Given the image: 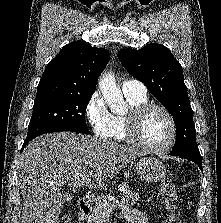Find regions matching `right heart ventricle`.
<instances>
[{"label":"right heart ventricle","mask_w":221,"mask_h":223,"mask_svg":"<svg viewBox=\"0 0 221 223\" xmlns=\"http://www.w3.org/2000/svg\"><path fill=\"white\" fill-rule=\"evenodd\" d=\"M131 108L147 103L148 97L145 95H125ZM128 115H112V133L110 137L117 142L127 141L126 122Z\"/></svg>","instance_id":"right-heart-ventricle-1"}]
</instances>
